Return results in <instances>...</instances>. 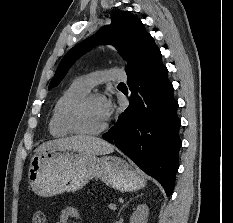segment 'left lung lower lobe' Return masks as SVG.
<instances>
[{
  "instance_id": "left-lung-lower-lobe-1",
  "label": "left lung lower lobe",
  "mask_w": 233,
  "mask_h": 223,
  "mask_svg": "<svg viewBox=\"0 0 233 223\" xmlns=\"http://www.w3.org/2000/svg\"><path fill=\"white\" fill-rule=\"evenodd\" d=\"M127 76L129 107L102 137L157 179L170 196L178 170L180 120L173 86L154 42Z\"/></svg>"
}]
</instances>
